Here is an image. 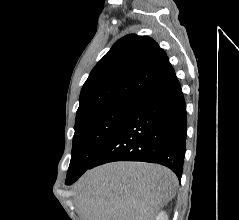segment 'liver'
Wrapping results in <instances>:
<instances>
[{
  "mask_svg": "<svg viewBox=\"0 0 239 220\" xmlns=\"http://www.w3.org/2000/svg\"><path fill=\"white\" fill-rule=\"evenodd\" d=\"M177 185L166 167L119 161L87 171L74 187V199L82 220H154Z\"/></svg>",
  "mask_w": 239,
  "mask_h": 220,
  "instance_id": "obj_1",
  "label": "liver"
}]
</instances>
